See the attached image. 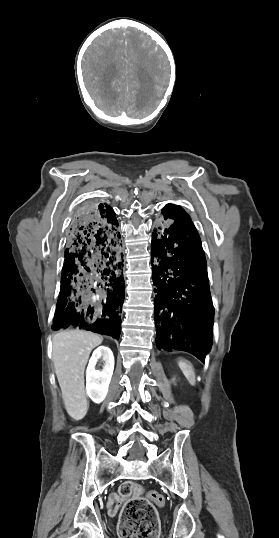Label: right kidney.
I'll return each mask as SVG.
<instances>
[{
  "mask_svg": "<svg viewBox=\"0 0 279 538\" xmlns=\"http://www.w3.org/2000/svg\"><path fill=\"white\" fill-rule=\"evenodd\" d=\"M104 360L103 370H96L98 360ZM114 370V356L107 346H99L94 350L86 370V392L95 402L100 404L107 396L109 384Z\"/></svg>",
  "mask_w": 279,
  "mask_h": 538,
  "instance_id": "right-kidney-1",
  "label": "right kidney"
}]
</instances>
